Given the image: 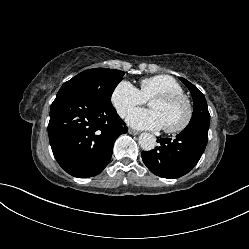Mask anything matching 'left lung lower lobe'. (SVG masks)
<instances>
[{"mask_svg": "<svg viewBox=\"0 0 249 249\" xmlns=\"http://www.w3.org/2000/svg\"><path fill=\"white\" fill-rule=\"evenodd\" d=\"M210 118L191 120L175 139L158 138L159 146L143 151L147 168L163 178H178L187 174L198 163L208 141Z\"/></svg>", "mask_w": 249, "mask_h": 249, "instance_id": "0a47b994", "label": "left lung lower lobe"}]
</instances>
